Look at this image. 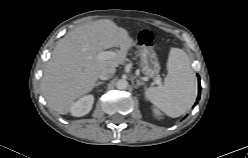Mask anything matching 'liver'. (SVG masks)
I'll return each instance as SVG.
<instances>
[{
    "label": "liver",
    "instance_id": "obj_1",
    "mask_svg": "<svg viewBox=\"0 0 248 158\" xmlns=\"http://www.w3.org/2000/svg\"><path fill=\"white\" fill-rule=\"evenodd\" d=\"M134 45L128 32L113 21L100 19L71 30L55 46L41 78V89L48 106L67 114L72 104L89 93L100 72L124 63ZM119 47L113 59L102 60L103 49Z\"/></svg>",
    "mask_w": 248,
    "mask_h": 158
}]
</instances>
